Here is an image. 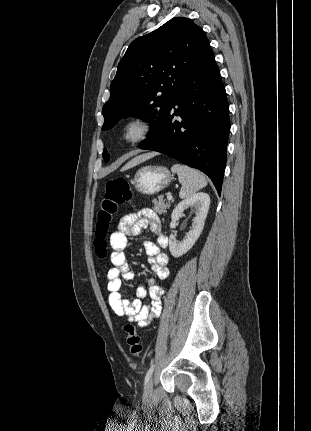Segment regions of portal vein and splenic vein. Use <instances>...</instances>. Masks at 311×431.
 I'll return each instance as SVG.
<instances>
[{
  "label": "portal vein and splenic vein",
  "instance_id": "1",
  "mask_svg": "<svg viewBox=\"0 0 311 431\" xmlns=\"http://www.w3.org/2000/svg\"><path fill=\"white\" fill-rule=\"evenodd\" d=\"M167 200H173V196H171V194H167Z\"/></svg>",
  "mask_w": 311,
  "mask_h": 431
}]
</instances>
